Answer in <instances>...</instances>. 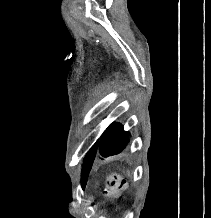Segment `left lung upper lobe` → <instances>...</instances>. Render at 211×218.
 <instances>
[{"mask_svg":"<svg viewBox=\"0 0 211 218\" xmlns=\"http://www.w3.org/2000/svg\"><path fill=\"white\" fill-rule=\"evenodd\" d=\"M128 142L129 137L123 130V126L121 124L115 123L110 125L101 136L100 144L97 141L85 157L81 173L82 185H85V182L88 178L90 169L97 154L98 147L100 154L104 157H107L109 155L119 153L125 148Z\"/></svg>","mask_w":211,"mask_h":218,"instance_id":"left-lung-upper-lobe-1","label":"left lung upper lobe"}]
</instances>
